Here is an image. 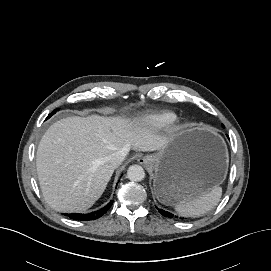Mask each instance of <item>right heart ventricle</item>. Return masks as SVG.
<instances>
[{
    "mask_svg": "<svg viewBox=\"0 0 271 271\" xmlns=\"http://www.w3.org/2000/svg\"><path fill=\"white\" fill-rule=\"evenodd\" d=\"M177 119L173 112H161L144 116L140 124L149 129H163L171 126Z\"/></svg>",
    "mask_w": 271,
    "mask_h": 271,
    "instance_id": "right-heart-ventricle-1",
    "label": "right heart ventricle"
}]
</instances>
